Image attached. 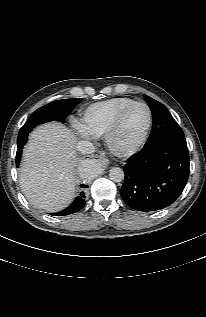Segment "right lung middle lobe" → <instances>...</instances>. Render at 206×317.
Masks as SVG:
<instances>
[{"instance_id": "dd1d6c3e", "label": "right lung middle lobe", "mask_w": 206, "mask_h": 317, "mask_svg": "<svg viewBox=\"0 0 206 317\" xmlns=\"http://www.w3.org/2000/svg\"><path fill=\"white\" fill-rule=\"evenodd\" d=\"M81 101V98L75 99H63L57 100L48 103L47 105L37 109L28 121L24 124V126L20 129L18 138H17V154H16V163L19 165L22 147L25 145L28 139V133L36 127L44 122H48L51 120H58L63 122L68 113Z\"/></svg>"}]
</instances>
